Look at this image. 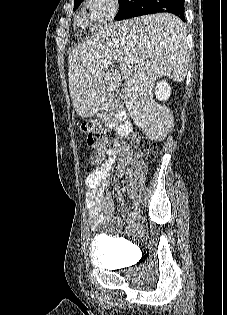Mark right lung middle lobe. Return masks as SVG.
Returning a JSON list of instances; mask_svg holds the SVG:
<instances>
[{"label":"right lung middle lobe","instance_id":"1","mask_svg":"<svg viewBox=\"0 0 227 315\" xmlns=\"http://www.w3.org/2000/svg\"><path fill=\"white\" fill-rule=\"evenodd\" d=\"M138 1V0H119V7L123 6L124 4H129L130 2ZM83 2V0H76L74 1V10H76L79 5Z\"/></svg>","mask_w":227,"mask_h":315}]
</instances>
